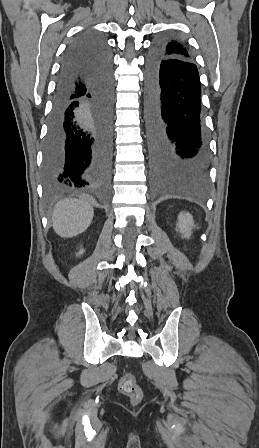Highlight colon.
<instances>
[{
	"label": "colon",
	"instance_id": "obj_1",
	"mask_svg": "<svg viewBox=\"0 0 259 448\" xmlns=\"http://www.w3.org/2000/svg\"><path fill=\"white\" fill-rule=\"evenodd\" d=\"M119 389L130 398L132 404H138L142 399V390L131 373H126L121 377Z\"/></svg>",
	"mask_w": 259,
	"mask_h": 448
}]
</instances>
